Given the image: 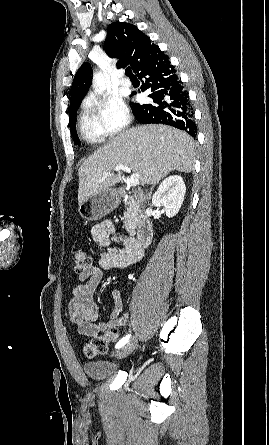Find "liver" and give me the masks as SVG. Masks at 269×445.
<instances>
[{
	"instance_id": "1",
	"label": "liver",
	"mask_w": 269,
	"mask_h": 445,
	"mask_svg": "<svg viewBox=\"0 0 269 445\" xmlns=\"http://www.w3.org/2000/svg\"><path fill=\"white\" fill-rule=\"evenodd\" d=\"M193 155L192 138L175 128L145 125L126 130L80 166L78 204L121 182L122 172H112L118 165L131 167L139 175L142 185L156 184L171 171L191 172Z\"/></svg>"
}]
</instances>
